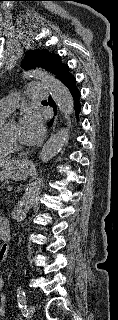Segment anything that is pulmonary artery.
<instances>
[{"instance_id":"obj_1","label":"pulmonary artery","mask_w":118,"mask_h":320,"mask_svg":"<svg viewBox=\"0 0 118 320\" xmlns=\"http://www.w3.org/2000/svg\"><path fill=\"white\" fill-rule=\"evenodd\" d=\"M46 91V86L44 84L31 83L27 85L25 93L27 97L33 101H42L48 97ZM22 100V98H19L16 95L0 100V112L3 115L7 116L17 104L22 102Z\"/></svg>"}]
</instances>
